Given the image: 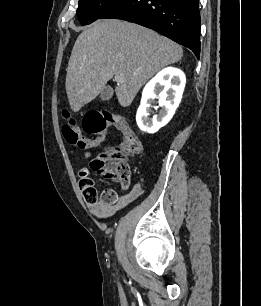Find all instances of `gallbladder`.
Listing matches in <instances>:
<instances>
[{
  "label": "gallbladder",
  "instance_id": "bac80fb5",
  "mask_svg": "<svg viewBox=\"0 0 261 306\" xmlns=\"http://www.w3.org/2000/svg\"><path fill=\"white\" fill-rule=\"evenodd\" d=\"M113 95V89L111 86H106L100 94V98L102 101L109 100Z\"/></svg>",
  "mask_w": 261,
  "mask_h": 306
}]
</instances>
